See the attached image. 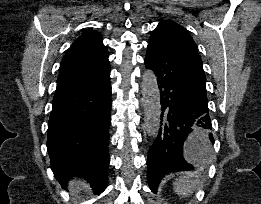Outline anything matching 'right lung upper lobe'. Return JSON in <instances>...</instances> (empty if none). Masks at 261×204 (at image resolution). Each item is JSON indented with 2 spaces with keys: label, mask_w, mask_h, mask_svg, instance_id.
Masks as SVG:
<instances>
[{
  "label": "right lung upper lobe",
  "mask_w": 261,
  "mask_h": 204,
  "mask_svg": "<svg viewBox=\"0 0 261 204\" xmlns=\"http://www.w3.org/2000/svg\"><path fill=\"white\" fill-rule=\"evenodd\" d=\"M108 60V50L101 35L92 30L84 32L69 48L60 64L59 77L96 67Z\"/></svg>",
  "instance_id": "obj_1"
}]
</instances>
